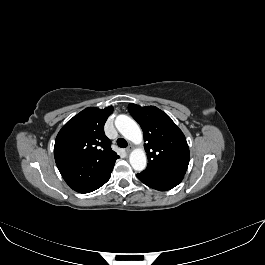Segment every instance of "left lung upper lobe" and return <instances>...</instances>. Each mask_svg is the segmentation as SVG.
Here are the masks:
<instances>
[{
  "label": "left lung upper lobe",
  "instance_id": "1",
  "mask_svg": "<svg viewBox=\"0 0 265 265\" xmlns=\"http://www.w3.org/2000/svg\"><path fill=\"white\" fill-rule=\"evenodd\" d=\"M128 110L144 134L149 173L184 176L190 152L184 134L172 119L155 106L129 104Z\"/></svg>",
  "mask_w": 265,
  "mask_h": 265
}]
</instances>
